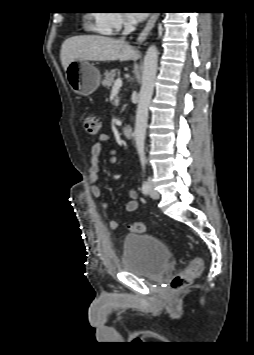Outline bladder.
Here are the masks:
<instances>
[{
    "instance_id": "bladder-1",
    "label": "bladder",
    "mask_w": 254,
    "mask_h": 355,
    "mask_svg": "<svg viewBox=\"0 0 254 355\" xmlns=\"http://www.w3.org/2000/svg\"><path fill=\"white\" fill-rule=\"evenodd\" d=\"M123 268L149 280L160 278L168 269L170 252L159 239L149 235L124 238Z\"/></svg>"
}]
</instances>
